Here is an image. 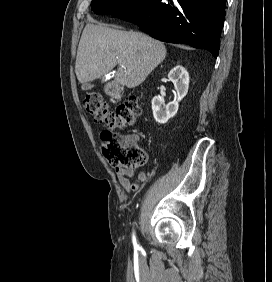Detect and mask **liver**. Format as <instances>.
<instances>
[{"mask_svg":"<svg viewBox=\"0 0 272 282\" xmlns=\"http://www.w3.org/2000/svg\"><path fill=\"white\" fill-rule=\"evenodd\" d=\"M166 53L162 42L143 33L89 23L78 45L75 72L84 86L118 65L115 82L133 88L145 81Z\"/></svg>","mask_w":272,"mask_h":282,"instance_id":"liver-1","label":"liver"}]
</instances>
